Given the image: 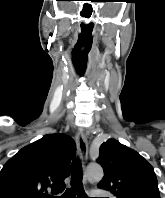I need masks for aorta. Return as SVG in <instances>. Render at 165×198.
I'll use <instances>...</instances> for the list:
<instances>
[{"label":"aorta","mask_w":165,"mask_h":198,"mask_svg":"<svg viewBox=\"0 0 165 198\" xmlns=\"http://www.w3.org/2000/svg\"><path fill=\"white\" fill-rule=\"evenodd\" d=\"M87 176L90 181L98 182L104 176L103 169L98 164H91L87 167Z\"/></svg>","instance_id":"762f6f07"}]
</instances>
